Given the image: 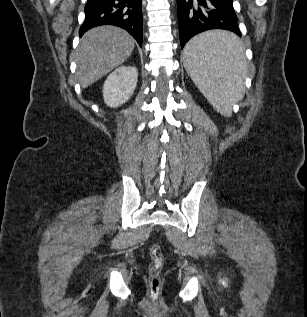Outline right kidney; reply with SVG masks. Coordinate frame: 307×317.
<instances>
[{"label":"right kidney","mask_w":307,"mask_h":317,"mask_svg":"<svg viewBox=\"0 0 307 317\" xmlns=\"http://www.w3.org/2000/svg\"><path fill=\"white\" fill-rule=\"evenodd\" d=\"M138 71L134 66H121L113 71L103 85L104 102L109 107H119L134 93Z\"/></svg>","instance_id":"right-kidney-1"}]
</instances>
